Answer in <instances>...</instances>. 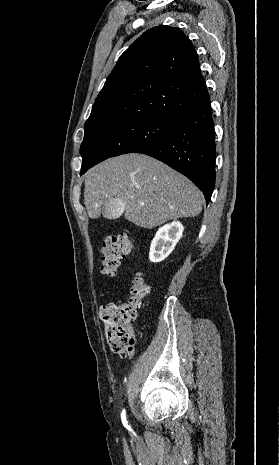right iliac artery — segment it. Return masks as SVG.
I'll use <instances>...</instances> for the list:
<instances>
[{"instance_id":"obj_1","label":"right iliac artery","mask_w":279,"mask_h":465,"mask_svg":"<svg viewBox=\"0 0 279 465\" xmlns=\"http://www.w3.org/2000/svg\"><path fill=\"white\" fill-rule=\"evenodd\" d=\"M125 417V410L122 411V418Z\"/></svg>"}]
</instances>
